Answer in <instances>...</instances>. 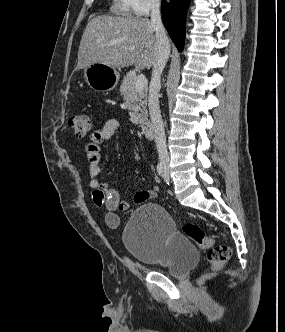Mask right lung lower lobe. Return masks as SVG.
<instances>
[{"instance_id": "98d812e1", "label": "right lung lower lobe", "mask_w": 285, "mask_h": 332, "mask_svg": "<svg viewBox=\"0 0 285 332\" xmlns=\"http://www.w3.org/2000/svg\"><path fill=\"white\" fill-rule=\"evenodd\" d=\"M190 0H169L162 2L164 25L179 51L183 50L186 12Z\"/></svg>"}]
</instances>
